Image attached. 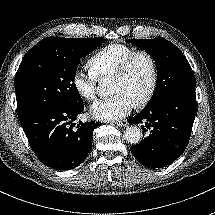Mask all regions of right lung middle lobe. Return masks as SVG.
Wrapping results in <instances>:
<instances>
[{"instance_id":"dd1d6c3e","label":"right lung middle lobe","mask_w":215,"mask_h":215,"mask_svg":"<svg viewBox=\"0 0 215 215\" xmlns=\"http://www.w3.org/2000/svg\"><path fill=\"white\" fill-rule=\"evenodd\" d=\"M102 38L48 37L24 56L15 76L18 117L48 105L83 104L74 83L80 59L96 49Z\"/></svg>"}]
</instances>
